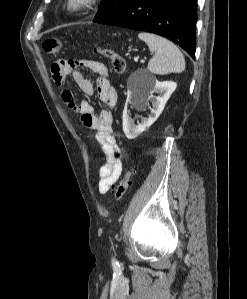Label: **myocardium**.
I'll list each match as a JSON object with an SVG mask.
<instances>
[{"label": "myocardium", "mask_w": 247, "mask_h": 299, "mask_svg": "<svg viewBox=\"0 0 247 299\" xmlns=\"http://www.w3.org/2000/svg\"><path fill=\"white\" fill-rule=\"evenodd\" d=\"M98 0H65L64 10L68 14H75L93 6Z\"/></svg>", "instance_id": "1"}]
</instances>
